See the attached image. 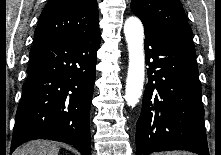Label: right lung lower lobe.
Returning a JSON list of instances; mask_svg holds the SVG:
<instances>
[{"label": "right lung lower lobe", "instance_id": "right-lung-lower-lobe-1", "mask_svg": "<svg viewBox=\"0 0 221 155\" xmlns=\"http://www.w3.org/2000/svg\"><path fill=\"white\" fill-rule=\"evenodd\" d=\"M100 41L99 29L34 41L11 153L29 140L49 139L91 155L89 118Z\"/></svg>", "mask_w": 221, "mask_h": 155}]
</instances>
